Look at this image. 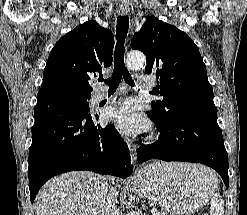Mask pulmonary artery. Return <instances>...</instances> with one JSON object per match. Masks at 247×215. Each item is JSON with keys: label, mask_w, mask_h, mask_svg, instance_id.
Masks as SVG:
<instances>
[{"label": "pulmonary artery", "mask_w": 247, "mask_h": 215, "mask_svg": "<svg viewBox=\"0 0 247 215\" xmlns=\"http://www.w3.org/2000/svg\"><path fill=\"white\" fill-rule=\"evenodd\" d=\"M139 84L141 87L150 89L153 88L156 85V81L153 77L150 76H141L138 79ZM108 97V93L104 89H100L97 92H95L93 99L95 102H99L103 99H106Z\"/></svg>", "instance_id": "pulmonary-artery-1"}]
</instances>
